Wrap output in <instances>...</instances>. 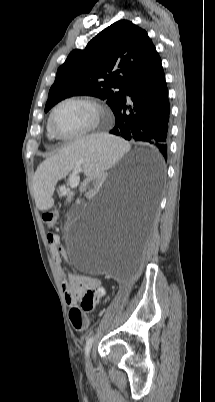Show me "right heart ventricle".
<instances>
[{
  "label": "right heart ventricle",
  "mask_w": 215,
  "mask_h": 402,
  "mask_svg": "<svg viewBox=\"0 0 215 402\" xmlns=\"http://www.w3.org/2000/svg\"><path fill=\"white\" fill-rule=\"evenodd\" d=\"M47 131H48V137H49L50 139H54L55 137L50 133V131H49V129H48V126H47Z\"/></svg>",
  "instance_id": "obj_1"
}]
</instances>
